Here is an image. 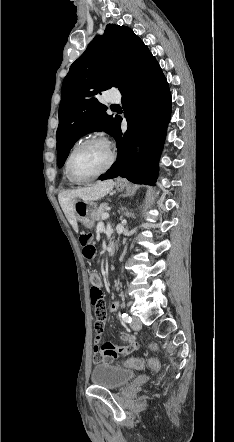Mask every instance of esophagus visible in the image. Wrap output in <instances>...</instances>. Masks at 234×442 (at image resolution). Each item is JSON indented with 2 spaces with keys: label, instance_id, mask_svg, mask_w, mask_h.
I'll list each match as a JSON object with an SVG mask.
<instances>
[{
  "label": "esophagus",
  "instance_id": "34e87169",
  "mask_svg": "<svg viewBox=\"0 0 234 442\" xmlns=\"http://www.w3.org/2000/svg\"><path fill=\"white\" fill-rule=\"evenodd\" d=\"M117 181H119V182H120V181H122V179H121V178H118V179H117Z\"/></svg>",
  "mask_w": 234,
  "mask_h": 442
}]
</instances>
